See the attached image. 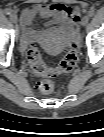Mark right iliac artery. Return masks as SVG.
<instances>
[{"label":"right iliac artery","mask_w":104,"mask_h":137,"mask_svg":"<svg viewBox=\"0 0 104 137\" xmlns=\"http://www.w3.org/2000/svg\"><path fill=\"white\" fill-rule=\"evenodd\" d=\"M12 13L11 9L7 8L5 9V14L6 15H10Z\"/></svg>","instance_id":"obj_1"}]
</instances>
